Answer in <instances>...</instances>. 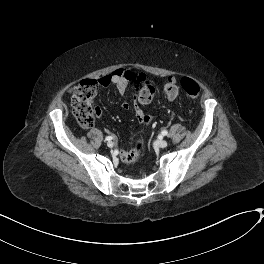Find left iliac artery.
I'll return each instance as SVG.
<instances>
[{
  "label": "left iliac artery",
  "mask_w": 264,
  "mask_h": 264,
  "mask_svg": "<svg viewBox=\"0 0 264 264\" xmlns=\"http://www.w3.org/2000/svg\"><path fill=\"white\" fill-rule=\"evenodd\" d=\"M161 134H162L163 136H166V135H168V131H167V130H163V131L161 132Z\"/></svg>",
  "instance_id": "1"
}]
</instances>
